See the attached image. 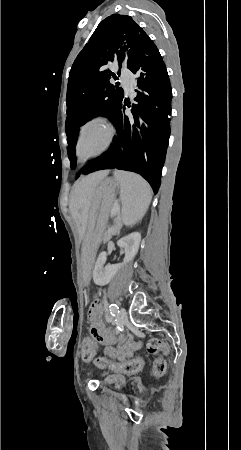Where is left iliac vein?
Returning <instances> with one entry per match:
<instances>
[{"label": "left iliac vein", "mask_w": 241, "mask_h": 450, "mask_svg": "<svg viewBox=\"0 0 241 450\" xmlns=\"http://www.w3.org/2000/svg\"><path fill=\"white\" fill-rule=\"evenodd\" d=\"M127 321V311L124 307H121L118 316V322L124 324Z\"/></svg>", "instance_id": "1"}]
</instances>
